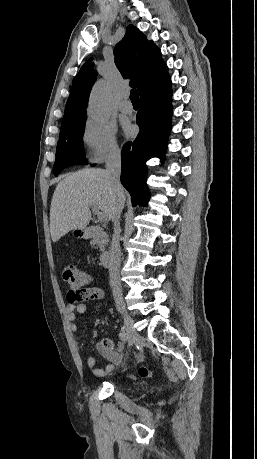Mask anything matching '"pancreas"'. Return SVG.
I'll return each mask as SVG.
<instances>
[{"label": "pancreas", "instance_id": "pancreas-1", "mask_svg": "<svg viewBox=\"0 0 257 459\" xmlns=\"http://www.w3.org/2000/svg\"><path fill=\"white\" fill-rule=\"evenodd\" d=\"M102 241L100 240V238L97 236V237H94L93 241L91 242V245L95 246V245H98V246H102Z\"/></svg>", "mask_w": 257, "mask_h": 459}]
</instances>
